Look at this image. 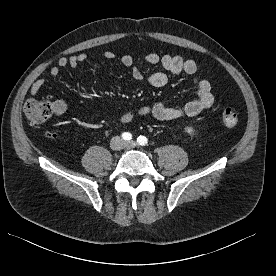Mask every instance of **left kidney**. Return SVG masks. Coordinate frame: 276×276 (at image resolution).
<instances>
[{"label": "left kidney", "mask_w": 276, "mask_h": 276, "mask_svg": "<svg viewBox=\"0 0 276 276\" xmlns=\"http://www.w3.org/2000/svg\"><path fill=\"white\" fill-rule=\"evenodd\" d=\"M185 131L189 134V135H193L195 133L194 128L192 127H186Z\"/></svg>", "instance_id": "5707ae66"}]
</instances>
